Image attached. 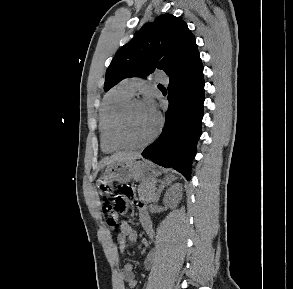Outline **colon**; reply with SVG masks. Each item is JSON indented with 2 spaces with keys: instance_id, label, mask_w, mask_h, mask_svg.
I'll list each match as a JSON object with an SVG mask.
<instances>
[{
  "instance_id": "obj_1",
  "label": "colon",
  "mask_w": 293,
  "mask_h": 289,
  "mask_svg": "<svg viewBox=\"0 0 293 289\" xmlns=\"http://www.w3.org/2000/svg\"><path fill=\"white\" fill-rule=\"evenodd\" d=\"M134 187L131 184L120 186L119 192L113 203L105 202L102 205V212L106 216L107 224L111 228H115L118 223V214L126 213L131 204H135Z\"/></svg>"
}]
</instances>
